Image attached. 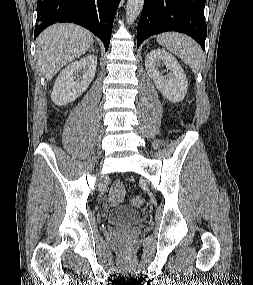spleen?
<instances>
[{"label":"spleen","instance_id":"3e777b00","mask_svg":"<svg viewBox=\"0 0 253 285\" xmlns=\"http://www.w3.org/2000/svg\"><path fill=\"white\" fill-rule=\"evenodd\" d=\"M157 42L181 58L194 73L203 65L202 49L192 38L181 33L168 32L158 35Z\"/></svg>","mask_w":253,"mask_h":285}]
</instances>
